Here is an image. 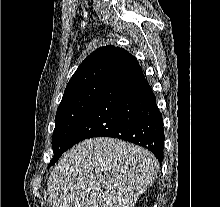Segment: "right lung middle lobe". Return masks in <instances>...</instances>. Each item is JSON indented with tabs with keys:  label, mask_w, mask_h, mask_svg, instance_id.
I'll return each mask as SVG.
<instances>
[{
	"label": "right lung middle lobe",
	"mask_w": 220,
	"mask_h": 207,
	"mask_svg": "<svg viewBox=\"0 0 220 207\" xmlns=\"http://www.w3.org/2000/svg\"><path fill=\"white\" fill-rule=\"evenodd\" d=\"M105 80H96L64 93L55 117L52 138L54 156L49 166L55 164L68 149L69 140L92 106Z\"/></svg>",
	"instance_id": "obj_1"
}]
</instances>
